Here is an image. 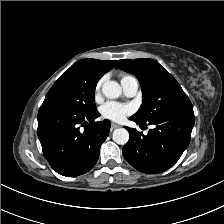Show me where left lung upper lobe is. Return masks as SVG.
<instances>
[{"label":"left lung upper lobe","instance_id":"1","mask_svg":"<svg viewBox=\"0 0 224 224\" xmlns=\"http://www.w3.org/2000/svg\"><path fill=\"white\" fill-rule=\"evenodd\" d=\"M116 68L134 74L141 85L143 103L132 117L144 123L181 113L193 106L174 77L153 59H122Z\"/></svg>","mask_w":224,"mask_h":224}]
</instances>
